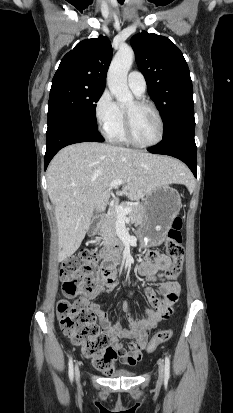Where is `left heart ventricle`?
<instances>
[{"label": "left heart ventricle", "mask_w": 233, "mask_h": 413, "mask_svg": "<svg viewBox=\"0 0 233 413\" xmlns=\"http://www.w3.org/2000/svg\"><path fill=\"white\" fill-rule=\"evenodd\" d=\"M126 110L131 113L133 134L141 143L154 142L159 135V122L154 112L147 107H137L130 103Z\"/></svg>", "instance_id": "1"}]
</instances>
